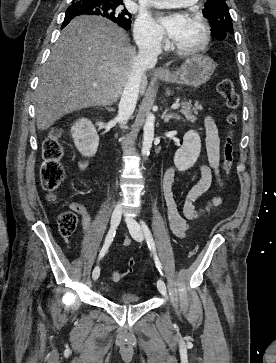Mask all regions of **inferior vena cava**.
<instances>
[{"instance_id": "obj_1", "label": "inferior vena cava", "mask_w": 276, "mask_h": 363, "mask_svg": "<svg viewBox=\"0 0 276 363\" xmlns=\"http://www.w3.org/2000/svg\"><path fill=\"white\" fill-rule=\"evenodd\" d=\"M138 54L131 65V73L121 95L117 120L125 125L135 110L143 73L155 66L161 54L159 38H147L138 43Z\"/></svg>"}]
</instances>
